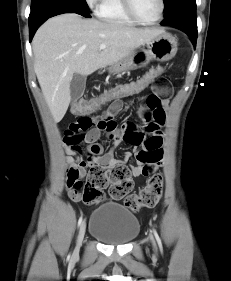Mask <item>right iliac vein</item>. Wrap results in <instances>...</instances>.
<instances>
[{
  "label": "right iliac vein",
  "mask_w": 231,
  "mask_h": 281,
  "mask_svg": "<svg viewBox=\"0 0 231 281\" xmlns=\"http://www.w3.org/2000/svg\"><path fill=\"white\" fill-rule=\"evenodd\" d=\"M85 229H86V224L85 222H83L80 226V230L77 236V240H76V246L73 252V257H77L79 254V250H80V246L83 242L84 236H85Z\"/></svg>",
  "instance_id": "right-iliac-vein-1"
}]
</instances>
